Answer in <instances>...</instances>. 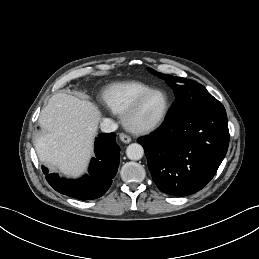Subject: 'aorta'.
Instances as JSON below:
<instances>
[{"label": "aorta", "mask_w": 259, "mask_h": 259, "mask_svg": "<svg viewBox=\"0 0 259 259\" xmlns=\"http://www.w3.org/2000/svg\"><path fill=\"white\" fill-rule=\"evenodd\" d=\"M126 155L130 160H140L144 155V149L140 144L132 143L127 147Z\"/></svg>", "instance_id": "aorta-1"}]
</instances>
